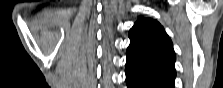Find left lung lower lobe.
Here are the masks:
<instances>
[{
  "mask_svg": "<svg viewBox=\"0 0 223 88\" xmlns=\"http://www.w3.org/2000/svg\"><path fill=\"white\" fill-rule=\"evenodd\" d=\"M128 88H174V78L147 68L126 63Z\"/></svg>",
  "mask_w": 223,
  "mask_h": 88,
  "instance_id": "1",
  "label": "left lung lower lobe"
}]
</instances>
